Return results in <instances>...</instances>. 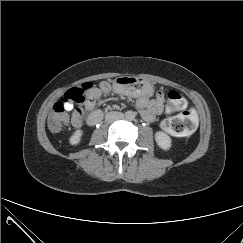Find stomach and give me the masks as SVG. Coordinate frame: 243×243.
<instances>
[{"instance_id":"1","label":"stomach","mask_w":243,"mask_h":243,"mask_svg":"<svg viewBox=\"0 0 243 243\" xmlns=\"http://www.w3.org/2000/svg\"><path fill=\"white\" fill-rule=\"evenodd\" d=\"M115 88L122 94L138 97L141 94H151L152 87L146 81L133 76H121L114 81Z\"/></svg>"}]
</instances>
